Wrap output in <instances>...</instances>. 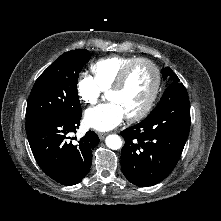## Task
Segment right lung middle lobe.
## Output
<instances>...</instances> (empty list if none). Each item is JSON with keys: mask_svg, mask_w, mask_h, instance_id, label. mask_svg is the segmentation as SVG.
I'll return each mask as SVG.
<instances>
[{"mask_svg": "<svg viewBox=\"0 0 221 221\" xmlns=\"http://www.w3.org/2000/svg\"><path fill=\"white\" fill-rule=\"evenodd\" d=\"M90 56L85 49L66 52L39 76L27 102L26 121L46 115L82 114L77 80Z\"/></svg>", "mask_w": 221, "mask_h": 221, "instance_id": "dd1d6c3e", "label": "right lung middle lobe"}]
</instances>
